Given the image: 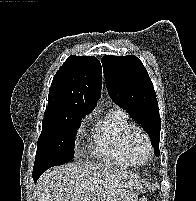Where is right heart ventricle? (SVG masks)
<instances>
[{
	"mask_svg": "<svg viewBox=\"0 0 196 201\" xmlns=\"http://www.w3.org/2000/svg\"><path fill=\"white\" fill-rule=\"evenodd\" d=\"M129 115L122 110H111L98 120L92 130V152L98 158L120 168L131 165L128 138L133 131Z\"/></svg>",
	"mask_w": 196,
	"mask_h": 201,
	"instance_id": "e07e8e85",
	"label": "right heart ventricle"
}]
</instances>
